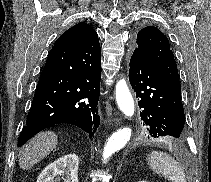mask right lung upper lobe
Here are the masks:
<instances>
[{
  "label": "right lung upper lobe",
  "instance_id": "right-lung-upper-lobe-1",
  "mask_svg": "<svg viewBox=\"0 0 211 182\" xmlns=\"http://www.w3.org/2000/svg\"><path fill=\"white\" fill-rule=\"evenodd\" d=\"M93 32L94 30L87 23L81 22L68 29L65 33H63L56 42H77L91 35Z\"/></svg>",
  "mask_w": 211,
  "mask_h": 182
}]
</instances>
